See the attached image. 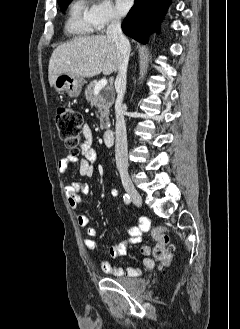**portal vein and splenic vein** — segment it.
I'll list each match as a JSON object with an SVG mask.
<instances>
[{"label":"portal vein and splenic vein","mask_w":240,"mask_h":329,"mask_svg":"<svg viewBox=\"0 0 240 329\" xmlns=\"http://www.w3.org/2000/svg\"><path fill=\"white\" fill-rule=\"evenodd\" d=\"M107 85L106 79H101L95 84L94 94L97 95Z\"/></svg>","instance_id":"18ae733b"}]
</instances>
